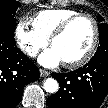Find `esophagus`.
Instances as JSON below:
<instances>
[{
	"label": "esophagus",
	"mask_w": 108,
	"mask_h": 108,
	"mask_svg": "<svg viewBox=\"0 0 108 108\" xmlns=\"http://www.w3.org/2000/svg\"><path fill=\"white\" fill-rule=\"evenodd\" d=\"M39 71H40V76H41V77H47V76L50 75V72L47 71V70L40 69Z\"/></svg>",
	"instance_id": "1"
}]
</instances>
